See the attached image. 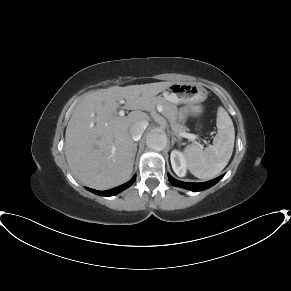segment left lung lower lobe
Here are the masks:
<instances>
[{
	"instance_id": "1",
	"label": "left lung lower lobe",
	"mask_w": 291,
	"mask_h": 291,
	"mask_svg": "<svg viewBox=\"0 0 291 291\" xmlns=\"http://www.w3.org/2000/svg\"><path fill=\"white\" fill-rule=\"evenodd\" d=\"M168 178H169V181L174 186H178V187H182V188H185V189H189L191 191H202V190L208 189L211 186H213L214 184H216L222 178V176L217 177V178H215L213 180H210L208 182H204V183L182 182V181H178V180L174 179L170 175H168Z\"/></svg>"
}]
</instances>
